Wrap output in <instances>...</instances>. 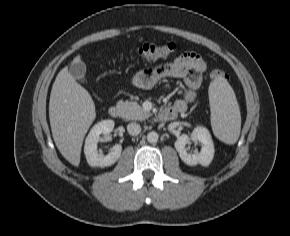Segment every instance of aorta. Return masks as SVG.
Listing matches in <instances>:
<instances>
[{
    "instance_id": "aorta-1",
    "label": "aorta",
    "mask_w": 290,
    "mask_h": 236,
    "mask_svg": "<svg viewBox=\"0 0 290 236\" xmlns=\"http://www.w3.org/2000/svg\"><path fill=\"white\" fill-rule=\"evenodd\" d=\"M159 139V135L155 131H151L147 134V141L149 143H156Z\"/></svg>"
}]
</instances>
